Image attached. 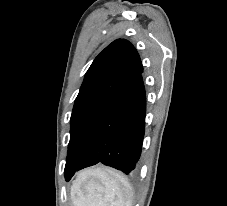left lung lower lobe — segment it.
I'll list each match as a JSON object with an SVG mask.
<instances>
[{
    "label": "left lung lower lobe",
    "instance_id": "1",
    "mask_svg": "<svg viewBox=\"0 0 227 206\" xmlns=\"http://www.w3.org/2000/svg\"><path fill=\"white\" fill-rule=\"evenodd\" d=\"M141 73L108 104L83 158L76 166L65 170L66 181L76 171L99 162L126 174L135 169L141 154L146 116V94Z\"/></svg>",
    "mask_w": 227,
    "mask_h": 206
}]
</instances>
